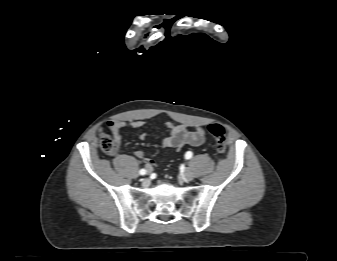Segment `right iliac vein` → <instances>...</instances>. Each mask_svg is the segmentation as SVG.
<instances>
[{
	"label": "right iliac vein",
	"instance_id": "1",
	"mask_svg": "<svg viewBox=\"0 0 337 261\" xmlns=\"http://www.w3.org/2000/svg\"><path fill=\"white\" fill-rule=\"evenodd\" d=\"M150 173H151V170H150V169H148V170H147V174H150Z\"/></svg>",
	"mask_w": 337,
	"mask_h": 261
}]
</instances>
